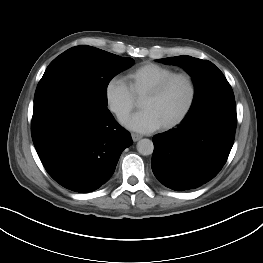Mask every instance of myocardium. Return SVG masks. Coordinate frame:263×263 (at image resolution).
Returning a JSON list of instances; mask_svg holds the SVG:
<instances>
[{
  "label": "myocardium",
  "instance_id": "1",
  "mask_svg": "<svg viewBox=\"0 0 263 263\" xmlns=\"http://www.w3.org/2000/svg\"><path fill=\"white\" fill-rule=\"evenodd\" d=\"M178 78H182L187 82L189 86V98L186 105L181 110V112L175 118H173L172 120L161 126L162 129L164 130L171 129L176 125H178L192 109L197 95V87L193 76L187 72L172 73L166 76L165 78L161 79L159 82H157L154 86H152L149 90H147L142 96V98L156 97L160 95L173 80Z\"/></svg>",
  "mask_w": 263,
  "mask_h": 263
}]
</instances>
